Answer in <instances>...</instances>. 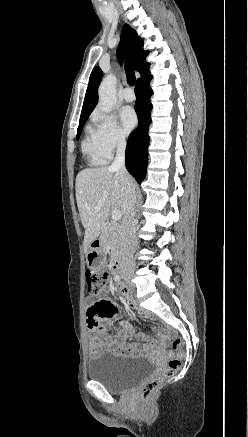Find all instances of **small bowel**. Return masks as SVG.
<instances>
[{"label":"small bowel","instance_id":"small-bowel-1","mask_svg":"<svg viewBox=\"0 0 248 437\" xmlns=\"http://www.w3.org/2000/svg\"><path fill=\"white\" fill-rule=\"evenodd\" d=\"M119 291L126 301H130L128 290L119 285ZM87 327L90 331L89 337V356L94 358L103 351L119 355H135L152 352L157 349V344L149 340L143 333L135 331L133 326L125 321H121L115 328V332L110 334L103 323H107L116 314L117 307L113 303V298H109L108 291H99L98 294H86ZM161 336L164 342L165 336ZM135 338L147 341L146 344L128 343L127 339Z\"/></svg>","mask_w":248,"mask_h":437}]
</instances>
